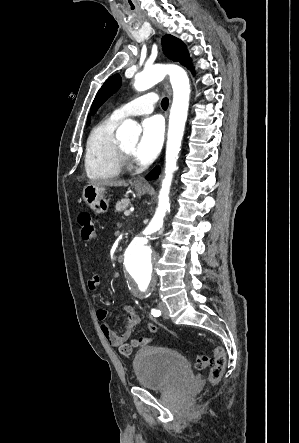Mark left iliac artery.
I'll list each match as a JSON object with an SVG mask.
<instances>
[{
  "label": "left iliac artery",
  "mask_w": 299,
  "mask_h": 443,
  "mask_svg": "<svg viewBox=\"0 0 299 443\" xmlns=\"http://www.w3.org/2000/svg\"><path fill=\"white\" fill-rule=\"evenodd\" d=\"M151 314H152L154 317H159V316L161 315V311L158 310V309H152V310H151Z\"/></svg>",
  "instance_id": "left-iliac-artery-1"
}]
</instances>
